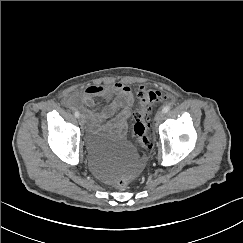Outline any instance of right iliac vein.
<instances>
[{"label":"right iliac vein","instance_id":"1","mask_svg":"<svg viewBox=\"0 0 243 243\" xmlns=\"http://www.w3.org/2000/svg\"><path fill=\"white\" fill-rule=\"evenodd\" d=\"M79 121H80V124H81V125H84V123H85V119H84L83 116L79 117Z\"/></svg>","mask_w":243,"mask_h":243}]
</instances>
